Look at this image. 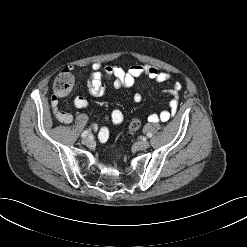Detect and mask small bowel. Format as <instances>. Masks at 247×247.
I'll return each instance as SVG.
<instances>
[{
	"instance_id": "1",
	"label": "small bowel",
	"mask_w": 247,
	"mask_h": 247,
	"mask_svg": "<svg viewBox=\"0 0 247 247\" xmlns=\"http://www.w3.org/2000/svg\"><path fill=\"white\" fill-rule=\"evenodd\" d=\"M70 69H73L72 67ZM148 77L157 83H167L170 81L171 74L168 72L160 71L153 65L148 64H138L133 65L129 69L124 70L123 68L115 65L103 66L100 63H94L91 66V73L86 83L87 92L92 97H100L106 91V81L112 80V85L116 89H126L131 90L135 85L136 79L140 77ZM181 89V84L179 82H174L170 88L165 90V92L171 97L169 106L170 110H165L159 114H151L148 117V121L153 123L159 120L167 121L172 118L176 112L178 106V94ZM135 102H141L142 96L140 93H135L133 96ZM73 105L76 108H88L90 102L87 98L83 96H77L73 99ZM52 111L54 117L61 123L70 124L73 121L71 114L59 111L57 103L52 102ZM108 119L115 125H119L124 120V115L122 111L115 108L108 115ZM98 136L101 142H106L109 138V129L107 127L98 128Z\"/></svg>"
}]
</instances>
